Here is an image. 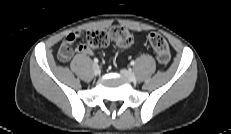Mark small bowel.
I'll use <instances>...</instances> for the list:
<instances>
[{
  "label": "small bowel",
  "mask_w": 231,
  "mask_h": 134,
  "mask_svg": "<svg viewBox=\"0 0 231 134\" xmlns=\"http://www.w3.org/2000/svg\"><path fill=\"white\" fill-rule=\"evenodd\" d=\"M82 35H83L82 31H74L69 33L65 37L58 51V58L61 62H67L71 59L73 55L72 44ZM76 53L80 55H89V56H93L95 54L94 51L90 48V46L86 44H80L79 46H77Z\"/></svg>",
  "instance_id": "c3829d8e"
}]
</instances>
